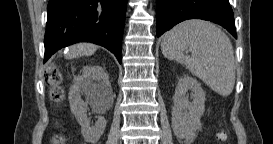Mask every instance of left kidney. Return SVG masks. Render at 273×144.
Instances as JSON below:
<instances>
[{"instance_id":"5707ae66","label":"left kidney","mask_w":273,"mask_h":144,"mask_svg":"<svg viewBox=\"0 0 273 144\" xmlns=\"http://www.w3.org/2000/svg\"><path fill=\"white\" fill-rule=\"evenodd\" d=\"M192 93L190 102L187 91ZM205 92L200 84L188 75L182 76L175 89L172 108V128L179 139L190 140L201 125V117L205 111Z\"/></svg>"}]
</instances>
